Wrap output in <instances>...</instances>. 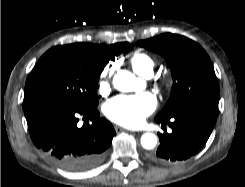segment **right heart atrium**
Here are the masks:
<instances>
[{"label": "right heart atrium", "mask_w": 245, "mask_h": 187, "mask_svg": "<svg viewBox=\"0 0 245 187\" xmlns=\"http://www.w3.org/2000/svg\"><path fill=\"white\" fill-rule=\"evenodd\" d=\"M113 72H114V66L113 65H108L103 70L102 78L98 84L99 94L104 96V95L109 93V91H110V79L112 77Z\"/></svg>", "instance_id": "obj_1"}]
</instances>
